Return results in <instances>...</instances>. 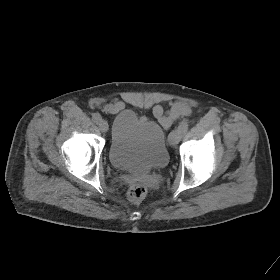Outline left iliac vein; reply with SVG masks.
Listing matches in <instances>:
<instances>
[{
	"instance_id": "4c4485c4",
	"label": "left iliac vein",
	"mask_w": 280,
	"mask_h": 280,
	"mask_svg": "<svg viewBox=\"0 0 280 280\" xmlns=\"http://www.w3.org/2000/svg\"><path fill=\"white\" fill-rule=\"evenodd\" d=\"M182 134L179 130H173L169 135V144L174 146L181 140Z\"/></svg>"
}]
</instances>
